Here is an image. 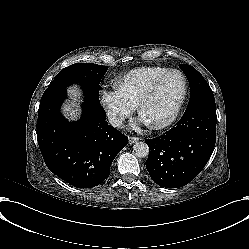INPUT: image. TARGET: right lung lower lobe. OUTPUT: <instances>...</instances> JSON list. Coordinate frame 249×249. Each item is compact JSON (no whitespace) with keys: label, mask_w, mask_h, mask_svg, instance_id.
Masks as SVG:
<instances>
[{"label":"right lung lower lobe","mask_w":249,"mask_h":249,"mask_svg":"<svg viewBox=\"0 0 249 249\" xmlns=\"http://www.w3.org/2000/svg\"><path fill=\"white\" fill-rule=\"evenodd\" d=\"M66 88L48 87L40 101L37 140L47 167L75 187L101 184L128 138L108 125L100 104L86 98L79 121L69 123L59 112Z\"/></svg>","instance_id":"right-lung-lower-lobe-1"}]
</instances>
